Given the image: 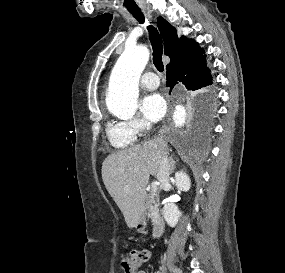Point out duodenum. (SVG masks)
I'll return each instance as SVG.
<instances>
[{"label":"duodenum","mask_w":285,"mask_h":273,"mask_svg":"<svg viewBox=\"0 0 285 273\" xmlns=\"http://www.w3.org/2000/svg\"><path fill=\"white\" fill-rule=\"evenodd\" d=\"M142 224H143V222H140V225H142ZM163 232H164V220L162 219L161 216H159L158 214H155L154 218H153L151 236H152V238H157Z\"/></svg>","instance_id":"obj_1"}]
</instances>
